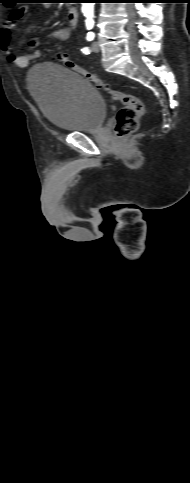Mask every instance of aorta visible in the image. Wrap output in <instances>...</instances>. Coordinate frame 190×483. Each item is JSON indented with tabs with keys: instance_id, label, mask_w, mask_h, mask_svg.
I'll return each instance as SVG.
<instances>
[{
	"instance_id": "aorta-1",
	"label": "aorta",
	"mask_w": 190,
	"mask_h": 483,
	"mask_svg": "<svg viewBox=\"0 0 190 483\" xmlns=\"http://www.w3.org/2000/svg\"><path fill=\"white\" fill-rule=\"evenodd\" d=\"M82 12L87 20H92L94 16V3H82Z\"/></svg>"
}]
</instances>
